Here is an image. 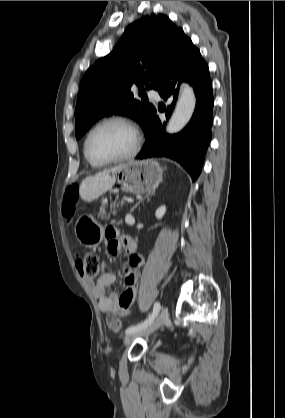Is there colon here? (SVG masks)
Instances as JSON below:
<instances>
[{
  "instance_id": "obj_1",
  "label": "colon",
  "mask_w": 285,
  "mask_h": 418,
  "mask_svg": "<svg viewBox=\"0 0 285 418\" xmlns=\"http://www.w3.org/2000/svg\"><path fill=\"white\" fill-rule=\"evenodd\" d=\"M76 190L73 187H69L65 190L63 203H62V215L67 222H73L76 215ZM76 266L82 277L95 278L100 271V264L98 258L94 254H86L84 256L77 255ZM107 326L110 331L118 332L121 330V321L114 313H108Z\"/></svg>"
}]
</instances>
